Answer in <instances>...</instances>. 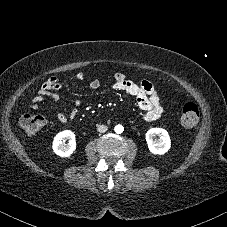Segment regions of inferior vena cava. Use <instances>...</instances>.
Segmentation results:
<instances>
[{
	"label": "inferior vena cava",
	"mask_w": 227,
	"mask_h": 227,
	"mask_svg": "<svg viewBox=\"0 0 227 227\" xmlns=\"http://www.w3.org/2000/svg\"><path fill=\"white\" fill-rule=\"evenodd\" d=\"M107 126L106 125H99L98 128H97V131L100 132V133H104L107 131Z\"/></svg>",
	"instance_id": "1"
}]
</instances>
